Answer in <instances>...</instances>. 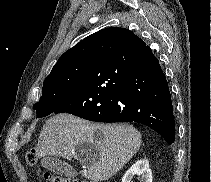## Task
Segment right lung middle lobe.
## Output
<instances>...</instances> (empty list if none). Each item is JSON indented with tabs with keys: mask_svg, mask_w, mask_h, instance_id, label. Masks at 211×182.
<instances>
[{
	"mask_svg": "<svg viewBox=\"0 0 211 182\" xmlns=\"http://www.w3.org/2000/svg\"><path fill=\"white\" fill-rule=\"evenodd\" d=\"M90 62L63 68L46 77L42 97L34 104L38 118L54 113L56 108L72 97L84 81Z\"/></svg>",
	"mask_w": 211,
	"mask_h": 182,
	"instance_id": "1",
	"label": "right lung middle lobe"
}]
</instances>
